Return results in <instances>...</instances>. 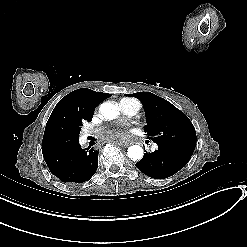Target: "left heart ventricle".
Masks as SVG:
<instances>
[{
	"label": "left heart ventricle",
	"mask_w": 247,
	"mask_h": 247,
	"mask_svg": "<svg viewBox=\"0 0 247 247\" xmlns=\"http://www.w3.org/2000/svg\"><path fill=\"white\" fill-rule=\"evenodd\" d=\"M117 125L125 132L130 134V139L135 135L136 133V125L135 123L128 117L124 116L122 117Z\"/></svg>",
	"instance_id": "obj_1"
}]
</instances>
